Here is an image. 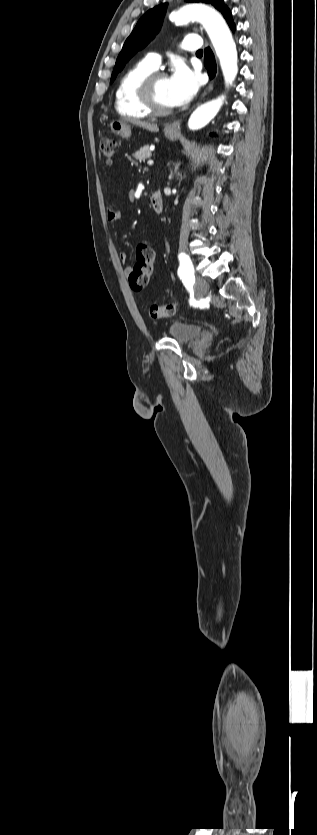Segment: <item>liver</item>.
Segmentation results:
<instances>
[{
    "instance_id": "1",
    "label": "liver",
    "mask_w": 317,
    "mask_h": 835,
    "mask_svg": "<svg viewBox=\"0 0 317 835\" xmlns=\"http://www.w3.org/2000/svg\"><path fill=\"white\" fill-rule=\"evenodd\" d=\"M133 123L136 126H138L140 128H143L145 130H148L150 132H158L159 131V128L156 124H151V123L145 122V121H134Z\"/></svg>"
}]
</instances>
